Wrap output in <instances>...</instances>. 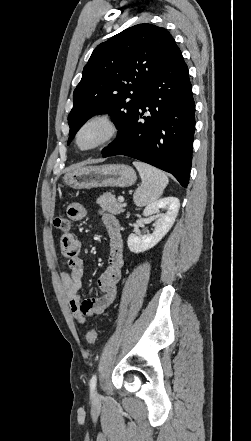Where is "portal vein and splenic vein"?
<instances>
[{
    "label": "portal vein and splenic vein",
    "instance_id": "portal-vein-and-splenic-vein-1",
    "mask_svg": "<svg viewBox=\"0 0 251 441\" xmlns=\"http://www.w3.org/2000/svg\"><path fill=\"white\" fill-rule=\"evenodd\" d=\"M118 201H119V202H124V198H123L122 196H119V197H118Z\"/></svg>",
    "mask_w": 251,
    "mask_h": 441
}]
</instances>
